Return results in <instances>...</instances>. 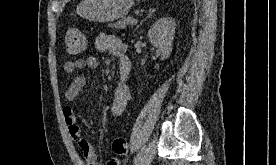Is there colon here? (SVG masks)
<instances>
[{
	"label": "colon",
	"mask_w": 276,
	"mask_h": 165,
	"mask_svg": "<svg viewBox=\"0 0 276 165\" xmlns=\"http://www.w3.org/2000/svg\"><path fill=\"white\" fill-rule=\"evenodd\" d=\"M64 40L66 50L71 55H77L86 48V38L77 28L67 29ZM111 149L115 155H124L128 151V143L125 138L117 137L112 141Z\"/></svg>",
	"instance_id": "5ec220e1"
}]
</instances>
